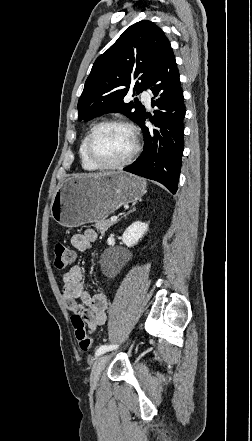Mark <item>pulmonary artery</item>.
<instances>
[{"mask_svg":"<svg viewBox=\"0 0 252 441\" xmlns=\"http://www.w3.org/2000/svg\"><path fill=\"white\" fill-rule=\"evenodd\" d=\"M141 97H142L144 103L146 104V106L150 107V105H151L150 93L148 91H143L141 94Z\"/></svg>","mask_w":252,"mask_h":441,"instance_id":"obj_1","label":"pulmonary artery"}]
</instances>
